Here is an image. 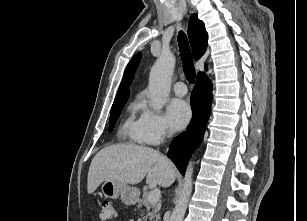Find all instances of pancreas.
I'll list each match as a JSON object with an SVG mask.
<instances>
[{"mask_svg":"<svg viewBox=\"0 0 307 221\" xmlns=\"http://www.w3.org/2000/svg\"><path fill=\"white\" fill-rule=\"evenodd\" d=\"M149 191H144L142 198L138 201V209L141 210V214L144 215L145 212L142 210V207L146 208V215L149 216L150 221H159L160 220V203H151L148 199Z\"/></svg>","mask_w":307,"mask_h":221,"instance_id":"cf45deb5","label":"pancreas"}]
</instances>
